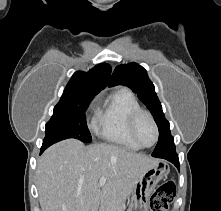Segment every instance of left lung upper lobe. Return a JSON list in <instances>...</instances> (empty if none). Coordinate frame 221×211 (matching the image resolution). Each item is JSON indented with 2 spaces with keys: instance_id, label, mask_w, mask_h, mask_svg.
<instances>
[{
  "instance_id": "left-lung-upper-lobe-1",
  "label": "left lung upper lobe",
  "mask_w": 221,
  "mask_h": 211,
  "mask_svg": "<svg viewBox=\"0 0 221 211\" xmlns=\"http://www.w3.org/2000/svg\"><path fill=\"white\" fill-rule=\"evenodd\" d=\"M123 84L135 92L141 101L150 110L159 128L158 143L152 156L160 158L175 152L174 138L170 134L169 122L162 111L161 103L155 92V88L147 75V71L136 63L119 65L114 70L111 85Z\"/></svg>"
}]
</instances>
